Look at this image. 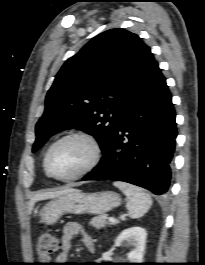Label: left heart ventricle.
<instances>
[{
    "instance_id": "left-heart-ventricle-1",
    "label": "left heart ventricle",
    "mask_w": 205,
    "mask_h": 265,
    "mask_svg": "<svg viewBox=\"0 0 205 265\" xmlns=\"http://www.w3.org/2000/svg\"><path fill=\"white\" fill-rule=\"evenodd\" d=\"M89 144L78 138L65 140L50 153L48 166L58 176H69L79 171L90 159Z\"/></svg>"
}]
</instances>
